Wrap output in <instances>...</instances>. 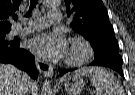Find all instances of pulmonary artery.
Listing matches in <instances>:
<instances>
[{
  "instance_id": "obj_1",
  "label": "pulmonary artery",
  "mask_w": 135,
  "mask_h": 95,
  "mask_svg": "<svg viewBox=\"0 0 135 95\" xmlns=\"http://www.w3.org/2000/svg\"><path fill=\"white\" fill-rule=\"evenodd\" d=\"M61 22V13L59 10H50L47 17H37L31 19L26 26L14 25L11 30L12 35L35 32L43 29L46 23L59 24Z\"/></svg>"
}]
</instances>
